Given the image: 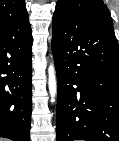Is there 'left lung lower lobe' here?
<instances>
[{"mask_svg": "<svg viewBox=\"0 0 119 141\" xmlns=\"http://www.w3.org/2000/svg\"><path fill=\"white\" fill-rule=\"evenodd\" d=\"M57 141H119V46L113 25L53 15Z\"/></svg>", "mask_w": 119, "mask_h": 141, "instance_id": "1", "label": "left lung lower lobe"}]
</instances>
